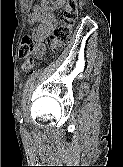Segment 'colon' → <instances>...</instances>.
<instances>
[{
    "instance_id": "colon-1",
    "label": "colon",
    "mask_w": 123,
    "mask_h": 167,
    "mask_svg": "<svg viewBox=\"0 0 123 167\" xmlns=\"http://www.w3.org/2000/svg\"><path fill=\"white\" fill-rule=\"evenodd\" d=\"M77 14L76 0H68L64 6L60 22L54 31V36L50 40V46L53 51L58 50L69 42ZM33 46V40L30 36L26 35L21 39L19 56L23 59L22 70L26 75L32 74L35 67V62L31 57Z\"/></svg>"
}]
</instances>
